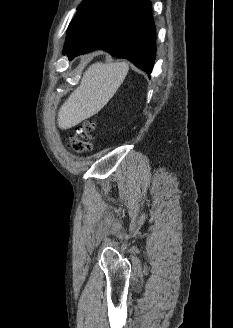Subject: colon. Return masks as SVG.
Masks as SVG:
<instances>
[{"label": "colon", "instance_id": "1", "mask_svg": "<svg viewBox=\"0 0 233 328\" xmlns=\"http://www.w3.org/2000/svg\"><path fill=\"white\" fill-rule=\"evenodd\" d=\"M92 123L89 121L82 122L76 127L74 133L69 137V146L75 151H85L91 146Z\"/></svg>", "mask_w": 233, "mask_h": 328}]
</instances>
